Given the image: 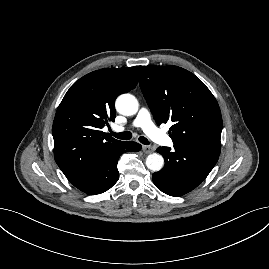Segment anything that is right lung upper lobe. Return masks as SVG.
Wrapping results in <instances>:
<instances>
[{"mask_svg": "<svg viewBox=\"0 0 269 269\" xmlns=\"http://www.w3.org/2000/svg\"><path fill=\"white\" fill-rule=\"evenodd\" d=\"M140 69L141 66L96 70L67 91L52 127L54 158L66 177L122 143L101 129L114 121L115 99L136 87Z\"/></svg>", "mask_w": 269, "mask_h": 269, "instance_id": "obj_1", "label": "right lung upper lobe"}]
</instances>
